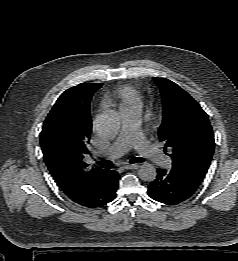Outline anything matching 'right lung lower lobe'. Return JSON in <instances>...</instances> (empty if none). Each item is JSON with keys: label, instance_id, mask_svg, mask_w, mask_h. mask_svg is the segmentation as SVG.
<instances>
[{"label": "right lung lower lobe", "instance_id": "right-lung-lower-lobe-1", "mask_svg": "<svg viewBox=\"0 0 238 261\" xmlns=\"http://www.w3.org/2000/svg\"><path fill=\"white\" fill-rule=\"evenodd\" d=\"M118 178L119 175L116 171L104 170L94 186L83 197L74 202L88 208L106 205L116 197Z\"/></svg>", "mask_w": 238, "mask_h": 261}]
</instances>
